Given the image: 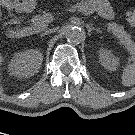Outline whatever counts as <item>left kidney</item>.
Listing matches in <instances>:
<instances>
[{
  "instance_id": "obj_1",
  "label": "left kidney",
  "mask_w": 135,
  "mask_h": 135,
  "mask_svg": "<svg viewBox=\"0 0 135 135\" xmlns=\"http://www.w3.org/2000/svg\"><path fill=\"white\" fill-rule=\"evenodd\" d=\"M99 61L107 70L114 71L119 66V58L110 50L101 48L99 50Z\"/></svg>"
}]
</instances>
